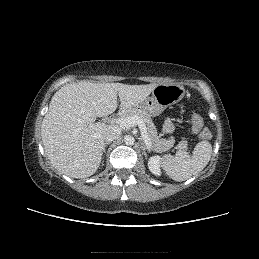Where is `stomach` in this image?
Here are the masks:
<instances>
[{
	"instance_id": "stomach-1",
	"label": "stomach",
	"mask_w": 259,
	"mask_h": 259,
	"mask_svg": "<svg viewBox=\"0 0 259 259\" xmlns=\"http://www.w3.org/2000/svg\"><path fill=\"white\" fill-rule=\"evenodd\" d=\"M185 88L179 84H159L152 91V96L147 97L135 108L157 116L167 107L179 102L185 95Z\"/></svg>"
}]
</instances>
